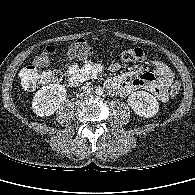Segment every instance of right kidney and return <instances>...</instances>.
Instances as JSON below:
<instances>
[{
    "label": "right kidney",
    "mask_w": 195,
    "mask_h": 195,
    "mask_svg": "<svg viewBox=\"0 0 195 195\" xmlns=\"http://www.w3.org/2000/svg\"><path fill=\"white\" fill-rule=\"evenodd\" d=\"M66 96V89L60 84L43 86L33 97L32 110L40 117L50 116L55 113Z\"/></svg>",
    "instance_id": "ca27d5eb"
}]
</instances>
